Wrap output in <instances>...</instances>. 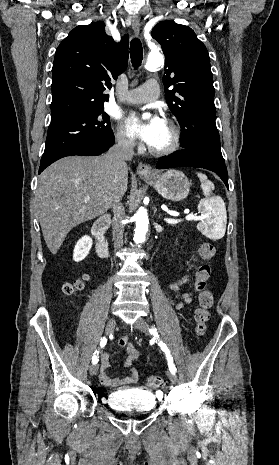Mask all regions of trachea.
Wrapping results in <instances>:
<instances>
[{
  "mask_svg": "<svg viewBox=\"0 0 279 465\" xmlns=\"http://www.w3.org/2000/svg\"><path fill=\"white\" fill-rule=\"evenodd\" d=\"M130 58L134 68H138L143 60V49L141 41L134 38L130 44Z\"/></svg>",
  "mask_w": 279,
  "mask_h": 465,
  "instance_id": "3493384b",
  "label": "trachea"
}]
</instances>
